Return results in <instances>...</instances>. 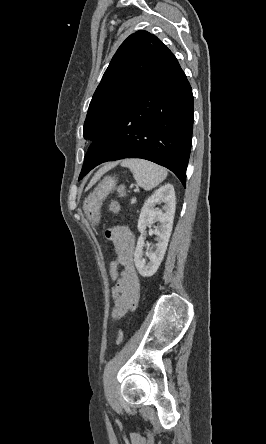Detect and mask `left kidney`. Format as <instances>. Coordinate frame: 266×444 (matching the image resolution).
<instances>
[{"label": "left kidney", "instance_id": "5707ae66", "mask_svg": "<svg viewBox=\"0 0 266 444\" xmlns=\"http://www.w3.org/2000/svg\"><path fill=\"white\" fill-rule=\"evenodd\" d=\"M164 202L163 211L155 209V206L160 202ZM176 197L174 187L171 184H165L157 189L144 203L138 219V230L141 233L137 241V246L134 253V261L136 268L141 276L151 277L159 268L171 235L173 220L175 215ZM159 222L160 225L154 230L153 234L156 236L157 243L155 249H148L147 256L149 262L144 263L143 247L144 232L148 225Z\"/></svg>", "mask_w": 266, "mask_h": 444}]
</instances>
